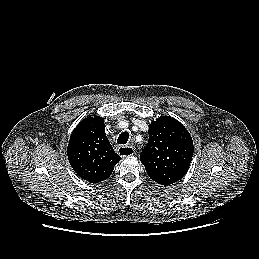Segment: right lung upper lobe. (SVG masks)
Here are the masks:
<instances>
[{
  "mask_svg": "<svg viewBox=\"0 0 259 259\" xmlns=\"http://www.w3.org/2000/svg\"><path fill=\"white\" fill-rule=\"evenodd\" d=\"M67 156L76 174L91 183L107 179L121 160L108 141L103 118L99 116L87 117L76 126Z\"/></svg>",
  "mask_w": 259,
  "mask_h": 259,
  "instance_id": "1",
  "label": "right lung upper lobe"
}]
</instances>
